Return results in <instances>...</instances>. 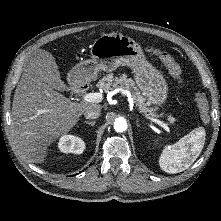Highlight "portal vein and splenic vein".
<instances>
[{
    "mask_svg": "<svg viewBox=\"0 0 221 221\" xmlns=\"http://www.w3.org/2000/svg\"><path fill=\"white\" fill-rule=\"evenodd\" d=\"M103 99V95L101 93H87L83 96V100L86 101V102H92V103H99L101 102ZM129 102L131 105H133V100L132 99H129ZM146 117L148 119H150L152 122L160 125L161 127H163L167 132L170 133V128L168 126V124L164 123L163 121H160L158 119H155V118H152V117H149L146 115Z\"/></svg>",
    "mask_w": 221,
    "mask_h": 221,
    "instance_id": "1",
    "label": "portal vein and splenic vein"
}]
</instances>
